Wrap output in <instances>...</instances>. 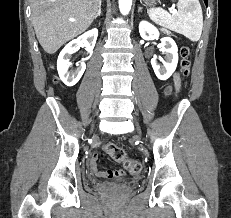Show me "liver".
Returning a JSON list of instances; mask_svg holds the SVG:
<instances>
[{"mask_svg": "<svg viewBox=\"0 0 231 218\" xmlns=\"http://www.w3.org/2000/svg\"><path fill=\"white\" fill-rule=\"evenodd\" d=\"M30 3L36 37L46 53L54 54L89 28L100 0H31Z\"/></svg>", "mask_w": 231, "mask_h": 218, "instance_id": "obj_1", "label": "liver"}]
</instances>
